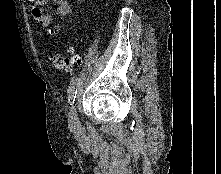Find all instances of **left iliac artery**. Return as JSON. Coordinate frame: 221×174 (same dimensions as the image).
<instances>
[{"mask_svg":"<svg viewBox=\"0 0 221 174\" xmlns=\"http://www.w3.org/2000/svg\"><path fill=\"white\" fill-rule=\"evenodd\" d=\"M77 84H78V78L74 76L71 79L70 86L68 89V103L69 105H73L76 99V94H77Z\"/></svg>","mask_w":221,"mask_h":174,"instance_id":"left-iliac-artery-1","label":"left iliac artery"}]
</instances>
